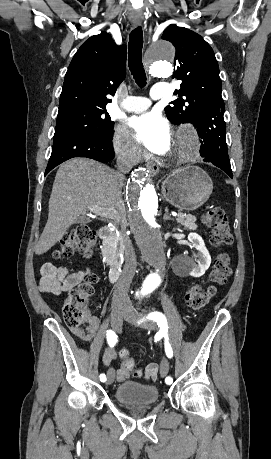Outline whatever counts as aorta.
<instances>
[{"label": "aorta", "mask_w": 271, "mask_h": 459, "mask_svg": "<svg viewBox=\"0 0 271 459\" xmlns=\"http://www.w3.org/2000/svg\"><path fill=\"white\" fill-rule=\"evenodd\" d=\"M174 53V48L169 42L156 43L148 54L150 74L155 77L171 75L170 60ZM178 147V164L195 162L199 158L198 141L192 132L185 131L179 136ZM127 205L130 228L143 259L156 269L143 283V290L152 292L161 283L159 271L165 266V252L157 221L158 196L154 186L148 182V171L145 168H138L132 172Z\"/></svg>", "instance_id": "762f6f07"}]
</instances>
